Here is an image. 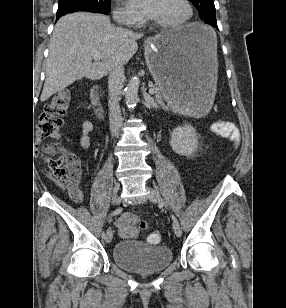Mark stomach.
Here are the masks:
<instances>
[{
  "label": "stomach",
  "instance_id": "stomach-1",
  "mask_svg": "<svg viewBox=\"0 0 286 308\" xmlns=\"http://www.w3.org/2000/svg\"><path fill=\"white\" fill-rule=\"evenodd\" d=\"M145 59L171 107L208 108L218 72L217 37L211 27L191 23L145 43Z\"/></svg>",
  "mask_w": 286,
  "mask_h": 308
}]
</instances>
